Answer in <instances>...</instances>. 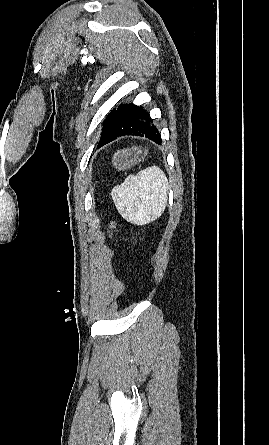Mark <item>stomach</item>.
Wrapping results in <instances>:
<instances>
[{
	"label": "stomach",
	"instance_id": "1",
	"mask_svg": "<svg viewBox=\"0 0 269 445\" xmlns=\"http://www.w3.org/2000/svg\"><path fill=\"white\" fill-rule=\"evenodd\" d=\"M141 154L142 150L138 147L118 151L113 156V165L118 170H127L131 166L139 163L141 158L143 159L146 156V150L144 151V155Z\"/></svg>",
	"mask_w": 269,
	"mask_h": 445
}]
</instances>
